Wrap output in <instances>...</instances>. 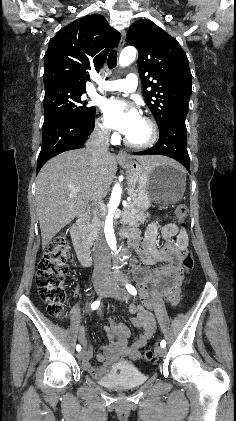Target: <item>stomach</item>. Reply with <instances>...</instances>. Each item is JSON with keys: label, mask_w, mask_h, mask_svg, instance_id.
Segmentation results:
<instances>
[{"label": "stomach", "mask_w": 236, "mask_h": 421, "mask_svg": "<svg viewBox=\"0 0 236 421\" xmlns=\"http://www.w3.org/2000/svg\"><path fill=\"white\" fill-rule=\"evenodd\" d=\"M128 176V194L140 213L146 211L152 202L174 204L181 200L185 192V176L182 170L171 164L143 166L129 156L119 160Z\"/></svg>", "instance_id": "obj_1"}]
</instances>
